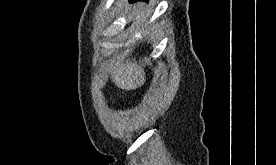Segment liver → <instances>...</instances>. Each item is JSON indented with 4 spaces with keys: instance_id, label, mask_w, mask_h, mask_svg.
Listing matches in <instances>:
<instances>
[{
    "instance_id": "liver-1",
    "label": "liver",
    "mask_w": 276,
    "mask_h": 165,
    "mask_svg": "<svg viewBox=\"0 0 276 165\" xmlns=\"http://www.w3.org/2000/svg\"><path fill=\"white\" fill-rule=\"evenodd\" d=\"M142 4H138L133 8L132 14H136V10L141 7ZM110 74L113 78L114 83L125 90L136 89L141 87L145 81V72L141 66L126 60L121 62L120 60L112 59L109 62Z\"/></svg>"
}]
</instances>
